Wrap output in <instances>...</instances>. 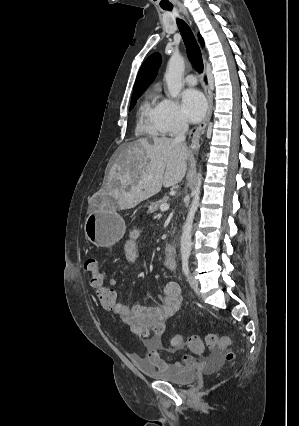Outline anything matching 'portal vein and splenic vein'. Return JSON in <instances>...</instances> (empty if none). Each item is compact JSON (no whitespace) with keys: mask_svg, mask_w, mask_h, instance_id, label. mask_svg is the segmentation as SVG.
Masks as SVG:
<instances>
[{"mask_svg":"<svg viewBox=\"0 0 299 426\" xmlns=\"http://www.w3.org/2000/svg\"><path fill=\"white\" fill-rule=\"evenodd\" d=\"M169 209V205L167 204V203H163V204H161L160 205V210L162 211V212H165V211H167Z\"/></svg>","mask_w":299,"mask_h":426,"instance_id":"18ae733b","label":"portal vein and splenic vein"}]
</instances>
